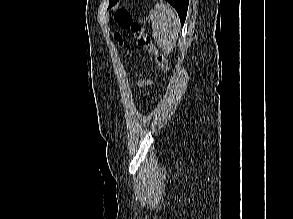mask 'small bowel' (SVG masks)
<instances>
[{
  "mask_svg": "<svg viewBox=\"0 0 293 219\" xmlns=\"http://www.w3.org/2000/svg\"><path fill=\"white\" fill-rule=\"evenodd\" d=\"M149 84V82H140V85Z\"/></svg>",
  "mask_w": 293,
  "mask_h": 219,
  "instance_id": "c3829d8e",
  "label": "small bowel"
}]
</instances>
